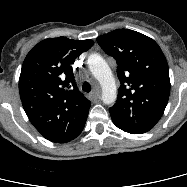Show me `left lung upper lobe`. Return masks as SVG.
<instances>
[{
	"mask_svg": "<svg viewBox=\"0 0 187 187\" xmlns=\"http://www.w3.org/2000/svg\"><path fill=\"white\" fill-rule=\"evenodd\" d=\"M117 61L120 88L109 108L113 123L130 134L151 130L160 120L170 94L169 69L158 44L139 32L116 29L97 38Z\"/></svg>",
	"mask_w": 187,
	"mask_h": 187,
	"instance_id": "obj_1",
	"label": "left lung upper lobe"
}]
</instances>
